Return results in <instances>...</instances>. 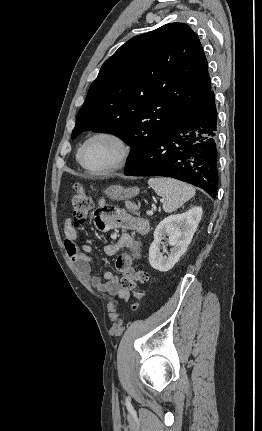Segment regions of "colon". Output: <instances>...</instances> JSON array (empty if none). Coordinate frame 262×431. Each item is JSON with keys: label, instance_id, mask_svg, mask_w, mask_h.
Instances as JSON below:
<instances>
[{"label": "colon", "instance_id": "obj_1", "mask_svg": "<svg viewBox=\"0 0 262 431\" xmlns=\"http://www.w3.org/2000/svg\"><path fill=\"white\" fill-rule=\"evenodd\" d=\"M71 218L76 226H81L85 223L92 207V200L89 194L81 185H75L74 192L71 196ZM102 212L106 215L113 214L115 208L112 205H106ZM149 281V275L144 270L137 271L133 276H125L121 280V288L125 293H133L134 297L141 299L145 291L138 288L140 284H146ZM138 302L131 303V309L137 310Z\"/></svg>", "mask_w": 262, "mask_h": 431}]
</instances>
